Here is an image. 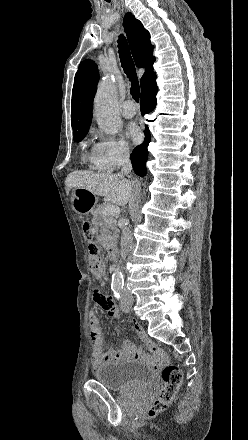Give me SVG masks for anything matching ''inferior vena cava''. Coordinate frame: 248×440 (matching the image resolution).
<instances>
[{
	"label": "inferior vena cava",
	"instance_id": "inferior-vena-cava-1",
	"mask_svg": "<svg viewBox=\"0 0 248 440\" xmlns=\"http://www.w3.org/2000/svg\"><path fill=\"white\" fill-rule=\"evenodd\" d=\"M132 169V165L130 162V157H129V151L125 150L123 151L122 155H121V173L120 175L123 174H128L131 172ZM132 235L131 232L129 230L128 227H124L122 229V237H121V257L122 259L126 258V255L129 251V248L132 245ZM122 259H121V263H122ZM128 296H130L129 293H126Z\"/></svg>",
	"mask_w": 248,
	"mask_h": 440
}]
</instances>
